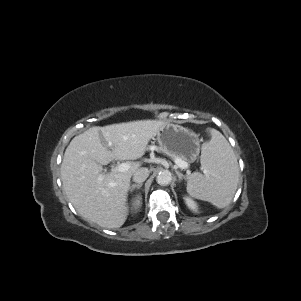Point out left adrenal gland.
I'll use <instances>...</instances> for the list:
<instances>
[{
	"label": "left adrenal gland",
	"mask_w": 301,
	"mask_h": 301,
	"mask_svg": "<svg viewBox=\"0 0 301 301\" xmlns=\"http://www.w3.org/2000/svg\"><path fill=\"white\" fill-rule=\"evenodd\" d=\"M176 172V174H177V176H178V178H179V181H181V180H186V177L181 173V172H179V171H175Z\"/></svg>",
	"instance_id": "left-adrenal-gland-1"
}]
</instances>
